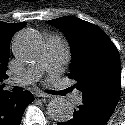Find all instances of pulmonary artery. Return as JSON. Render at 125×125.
<instances>
[{"label":"pulmonary artery","instance_id":"e3ab8cb5","mask_svg":"<svg viewBox=\"0 0 125 125\" xmlns=\"http://www.w3.org/2000/svg\"><path fill=\"white\" fill-rule=\"evenodd\" d=\"M66 46L59 36H49L45 48L37 58V61L30 65L22 74L10 80L13 85H27L38 81L44 73L49 79L57 80L64 64ZM82 100L77 93L74 97L76 103Z\"/></svg>","mask_w":125,"mask_h":125}]
</instances>
